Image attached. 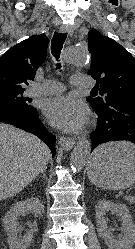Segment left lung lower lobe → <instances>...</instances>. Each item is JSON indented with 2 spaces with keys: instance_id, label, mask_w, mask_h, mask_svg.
Listing matches in <instances>:
<instances>
[{
  "instance_id": "left-lung-lower-lobe-1",
  "label": "left lung lower lobe",
  "mask_w": 135,
  "mask_h": 249,
  "mask_svg": "<svg viewBox=\"0 0 135 249\" xmlns=\"http://www.w3.org/2000/svg\"><path fill=\"white\" fill-rule=\"evenodd\" d=\"M97 129L91 133L92 149L108 141L127 140L135 143V103L115 102L98 110Z\"/></svg>"
}]
</instances>
